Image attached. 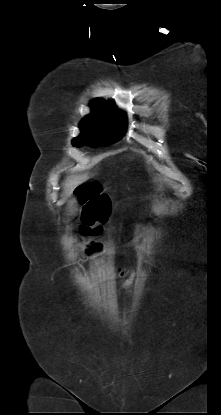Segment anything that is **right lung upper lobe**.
Listing matches in <instances>:
<instances>
[{
  "label": "right lung upper lobe",
  "instance_id": "cb5924a9",
  "mask_svg": "<svg viewBox=\"0 0 221 415\" xmlns=\"http://www.w3.org/2000/svg\"><path fill=\"white\" fill-rule=\"evenodd\" d=\"M91 107L93 109H97V110H106V111H114V112H119L118 110H116V108L114 107V104H111L110 102L105 103L102 100L96 99L93 100L91 102Z\"/></svg>",
  "mask_w": 221,
  "mask_h": 415
}]
</instances>
